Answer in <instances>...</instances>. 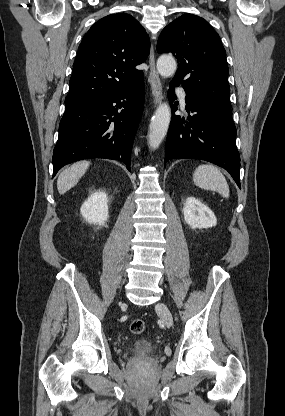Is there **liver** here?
Wrapping results in <instances>:
<instances>
[{
  "instance_id": "6515ba94",
  "label": "liver",
  "mask_w": 285,
  "mask_h": 416,
  "mask_svg": "<svg viewBox=\"0 0 285 416\" xmlns=\"http://www.w3.org/2000/svg\"><path fill=\"white\" fill-rule=\"evenodd\" d=\"M89 162H76L70 168H66L61 172L57 180V190L59 194H65L71 188H74L78 184L80 178L84 176L86 170H88Z\"/></svg>"
}]
</instances>
